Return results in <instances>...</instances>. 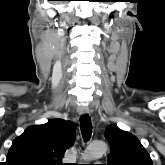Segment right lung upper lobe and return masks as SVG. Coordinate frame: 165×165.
Returning a JSON list of instances; mask_svg holds the SVG:
<instances>
[{"instance_id": "1", "label": "right lung upper lobe", "mask_w": 165, "mask_h": 165, "mask_svg": "<svg viewBox=\"0 0 165 165\" xmlns=\"http://www.w3.org/2000/svg\"><path fill=\"white\" fill-rule=\"evenodd\" d=\"M74 140L75 126L70 121L54 119L29 126L13 141L5 165H63L62 157Z\"/></svg>"}]
</instances>
